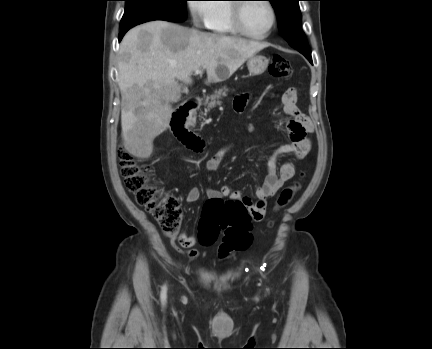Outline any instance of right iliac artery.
I'll list each match as a JSON object with an SVG mask.
<instances>
[{
    "instance_id": "1",
    "label": "right iliac artery",
    "mask_w": 432,
    "mask_h": 349,
    "mask_svg": "<svg viewBox=\"0 0 432 349\" xmlns=\"http://www.w3.org/2000/svg\"><path fill=\"white\" fill-rule=\"evenodd\" d=\"M166 292H167V288L164 285L162 287V291H161V302H162L163 305L166 303Z\"/></svg>"
}]
</instances>
